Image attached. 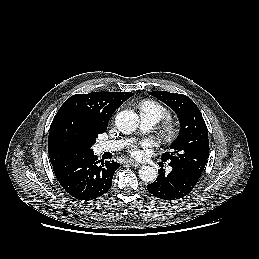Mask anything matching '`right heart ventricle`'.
I'll use <instances>...</instances> for the list:
<instances>
[{
	"label": "right heart ventricle",
	"instance_id": "1",
	"mask_svg": "<svg viewBox=\"0 0 259 259\" xmlns=\"http://www.w3.org/2000/svg\"><path fill=\"white\" fill-rule=\"evenodd\" d=\"M141 114H148L156 118L157 122L168 117L170 112L162 103L147 99L140 104Z\"/></svg>",
	"mask_w": 259,
	"mask_h": 259
}]
</instances>
